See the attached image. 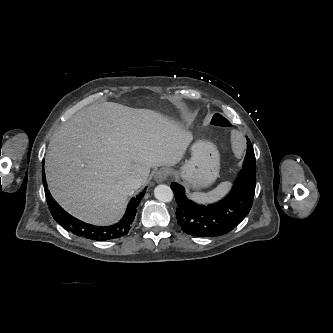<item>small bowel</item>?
Masks as SVG:
<instances>
[{"label":"small bowel","mask_w":333,"mask_h":333,"mask_svg":"<svg viewBox=\"0 0 333 333\" xmlns=\"http://www.w3.org/2000/svg\"><path fill=\"white\" fill-rule=\"evenodd\" d=\"M231 141L233 145V153L237 155L238 157L244 156V150H243V139L240 134L235 133L231 136Z\"/></svg>","instance_id":"small-bowel-1"}]
</instances>
